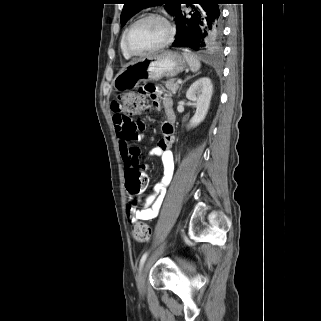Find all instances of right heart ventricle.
<instances>
[{
	"mask_svg": "<svg viewBox=\"0 0 321 321\" xmlns=\"http://www.w3.org/2000/svg\"><path fill=\"white\" fill-rule=\"evenodd\" d=\"M120 47H121V51H122L124 58L130 59L131 56L127 54V52L124 50V47H123V36L121 38Z\"/></svg>",
	"mask_w": 321,
	"mask_h": 321,
	"instance_id": "obj_1",
	"label": "right heart ventricle"
}]
</instances>
